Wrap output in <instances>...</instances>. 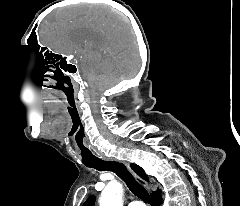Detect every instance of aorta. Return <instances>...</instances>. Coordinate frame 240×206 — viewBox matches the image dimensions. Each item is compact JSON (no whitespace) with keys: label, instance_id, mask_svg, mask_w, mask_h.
Here are the masks:
<instances>
[{"label":"aorta","instance_id":"obj_1","mask_svg":"<svg viewBox=\"0 0 240 206\" xmlns=\"http://www.w3.org/2000/svg\"><path fill=\"white\" fill-rule=\"evenodd\" d=\"M123 186L112 181L104 188L100 197V206H122Z\"/></svg>","mask_w":240,"mask_h":206}]
</instances>
